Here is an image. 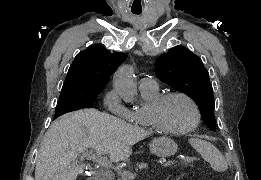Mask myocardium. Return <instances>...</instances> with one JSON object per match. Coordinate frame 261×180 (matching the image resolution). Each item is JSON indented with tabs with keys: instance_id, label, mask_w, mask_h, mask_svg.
<instances>
[{
	"instance_id": "myocardium-1",
	"label": "myocardium",
	"mask_w": 261,
	"mask_h": 180,
	"mask_svg": "<svg viewBox=\"0 0 261 180\" xmlns=\"http://www.w3.org/2000/svg\"><path fill=\"white\" fill-rule=\"evenodd\" d=\"M176 97L186 100L192 106V108L194 110V114H195L194 121L191 124V126L188 129H186L185 131H182L179 133H163L154 122L147 120L145 118V116L148 113H152V112L156 111L159 107L163 106L169 99L176 98ZM201 119H202L201 109L193 97H191L189 94H187L185 92L172 91V92L160 94L150 106H147V107L143 108L142 110H140L138 112L136 122H137L138 126L149 137L162 136V137L171 138V139H181V138H185L188 135H190L191 133H193L198 128V126L201 122Z\"/></svg>"
}]
</instances>
